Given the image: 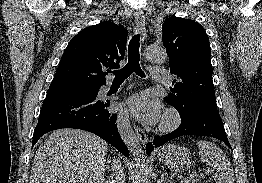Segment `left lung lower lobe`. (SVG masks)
<instances>
[{"mask_svg":"<svg viewBox=\"0 0 262 183\" xmlns=\"http://www.w3.org/2000/svg\"><path fill=\"white\" fill-rule=\"evenodd\" d=\"M179 114L182 121L181 125L169 134L155 136L151 142L147 143V154L151 153L155 147L162 146L172 139L185 135L214 137L223 141L232 149L226 136L219 111L199 109L179 112Z\"/></svg>","mask_w":262,"mask_h":183,"instance_id":"0a47b994","label":"left lung lower lobe"}]
</instances>
